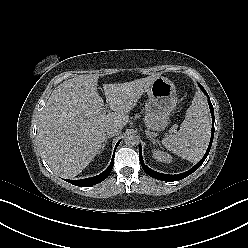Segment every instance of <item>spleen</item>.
<instances>
[{"label":"spleen","mask_w":248,"mask_h":248,"mask_svg":"<svg viewBox=\"0 0 248 248\" xmlns=\"http://www.w3.org/2000/svg\"><path fill=\"white\" fill-rule=\"evenodd\" d=\"M211 121L209 110L201 94L196 93L186 112L180 129L162 140V144L176 155L197 162L209 143Z\"/></svg>","instance_id":"obj_1"}]
</instances>
